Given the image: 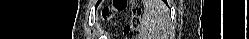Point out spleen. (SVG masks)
Wrapping results in <instances>:
<instances>
[{
    "mask_svg": "<svg viewBox=\"0 0 249 39\" xmlns=\"http://www.w3.org/2000/svg\"><path fill=\"white\" fill-rule=\"evenodd\" d=\"M170 34L168 8L161 0L144 1L141 21L143 39H167Z\"/></svg>",
    "mask_w": 249,
    "mask_h": 39,
    "instance_id": "1",
    "label": "spleen"
}]
</instances>
